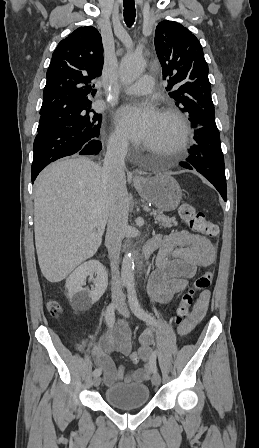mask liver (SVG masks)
Masks as SVG:
<instances>
[{
    "instance_id": "obj_1",
    "label": "liver",
    "mask_w": 259,
    "mask_h": 448,
    "mask_svg": "<svg viewBox=\"0 0 259 448\" xmlns=\"http://www.w3.org/2000/svg\"><path fill=\"white\" fill-rule=\"evenodd\" d=\"M102 168L86 156L49 164L34 182V232L40 270L61 282L101 246L109 216Z\"/></svg>"
}]
</instances>
